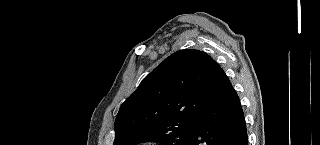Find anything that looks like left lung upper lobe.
Wrapping results in <instances>:
<instances>
[{
  "mask_svg": "<svg viewBox=\"0 0 320 145\" xmlns=\"http://www.w3.org/2000/svg\"><path fill=\"white\" fill-rule=\"evenodd\" d=\"M217 66L195 49L167 57L121 105L113 145H185L205 110L207 83Z\"/></svg>",
  "mask_w": 320,
  "mask_h": 145,
  "instance_id": "1",
  "label": "left lung upper lobe"
}]
</instances>
